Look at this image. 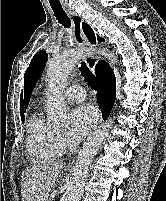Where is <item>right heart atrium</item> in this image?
Here are the masks:
<instances>
[{"instance_id": "obj_1", "label": "right heart atrium", "mask_w": 166, "mask_h": 201, "mask_svg": "<svg viewBox=\"0 0 166 201\" xmlns=\"http://www.w3.org/2000/svg\"><path fill=\"white\" fill-rule=\"evenodd\" d=\"M58 139H59V144L61 148L65 149L68 146V140L66 135L62 132H58Z\"/></svg>"}]
</instances>
